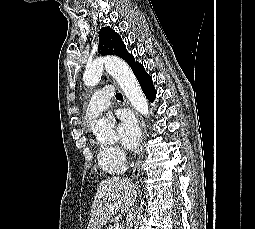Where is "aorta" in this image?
<instances>
[{"instance_id":"obj_1","label":"aorta","mask_w":255,"mask_h":229,"mask_svg":"<svg viewBox=\"0 0 255 229\" xmlns=\"http://www.w3.org/2000/svg\"><path fill=\"white\" fill-rule=\"evenodd\" d=\"M112 75L133 107L144 116L149 115L147 100L138 84V81L126 62L117 57H105L89 63L83 75L87 86L96 85L102 76L103 69ZM93 133L100 142L116 141L118 136L112 129L111 122L106 118L98 119Z\"/></svg>"}]
</instances>
